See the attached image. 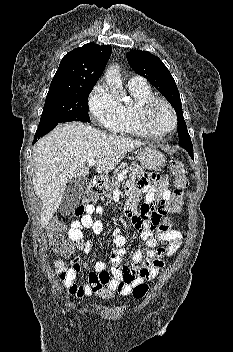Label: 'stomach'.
I'll return each mask as SVG.
<instances>
[{
	"mask_svg": "<svg viewBox=\"0 0 233 352\" xmlns=\"http://www.w3.org/2000/svg\"><path fill=\"white\" fill-rule=\"evenodd\" d=\"M137 158L141 166L147 169H157L165 163L164 155L159 150L151 147L140 150Z\"/></svg>",
	"mask_w": 233,
	"mask_h": 352,
	"instance_id": "1",
	"label": "stomach"
}]
</instances>
